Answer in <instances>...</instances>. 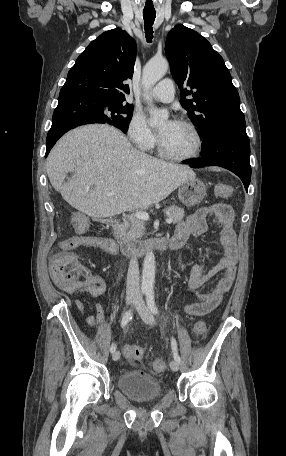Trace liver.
Returning a JSON list of instances; mask_svg holds the SVG:
<instances>
[{
	"mask_svg": "<svg viewBox=\"0 0 286 456\" xmlns=\"http://www.w3.org/2000/svg\"><path fill=\"white\" fill-rule=\"evenodd\" d=\"M46 170L63 199L93 219L146 209L196 177L186 166L134 149L121 131L104 124L69 131L52 148Z\"/></svg>",
	"mask_w": 286,
	"mask_h": 456,
	"instance_id": "6515ba94",
	"label": "liver"
}]
</instances>
